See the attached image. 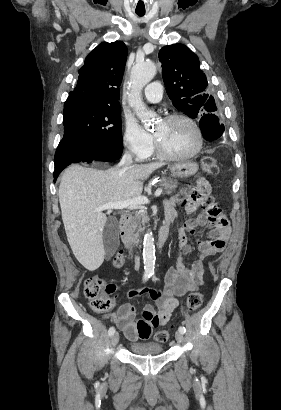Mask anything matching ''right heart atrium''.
<instances>
[{
  "label": "right heart atrium",
  "instance_id": "right-heart-atrium-1",
  "mask_svg": "<svg viewBox=\"0 0 281 410\" xmlns=\"http://www.w3.org/2000/svg\"><path fill=\"white\" fill-rule=\"evenodd\" d=\"M123 143L126 150L138 160L147 158L153 149V138L135 121L126 120Z\"/></svg>",
  "mask_w": 281,
  "mask_h": 410
}]
</instances>
